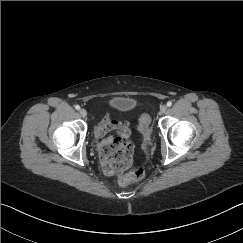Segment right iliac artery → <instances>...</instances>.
Listing matches in <instances>:
<instances>
[{"mask_svg": "<svg viewBox=\"0 0 243 243\" xmlns=\"http://www.w3.org/2000/svg\"><path fill=\"white\" fill-rule=\"evenodd\" d=\"M75 109H76V110H80V106H79V105H76V106H75Z\"/></svg>", "mask_w": 243, "mask_h": 243, "instance_id": "82829eb1", "label": "right iliac artery"}]
</instances>
